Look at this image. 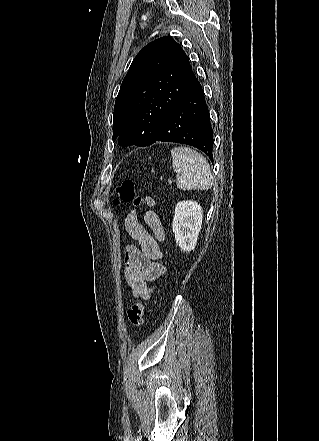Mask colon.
<instances>
[{
  "mask_svg": "<svg viewBox=\"0 0 319 441\" xmlns=\"http://www.w3.org/2000/svg\"><path fill=\"white\" fill-rule=\"evenodd\" d=\"M115 193V205L133 203L136 207H140L143 204V199L137 195L134 182L131 180H124L116 188ZM144 312L145 306L143 303H135L128 309V319L133 327L137 328L143 324Z\"/></svg>",
  "mask_w": 319,
  "mask_h": 441,
  "instance_id": "obj_1",
  "label": "colon"
}]
</instances>
